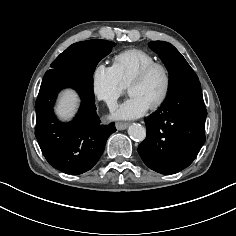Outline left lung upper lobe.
I'll return each mask as SVG.
<instances>
[{
  "instance_id": "1",
  "label": "left lung upper lobe",
  "mask_w": 236,
  "mask_h": 236,
  "mask_svg": "<svg viewBox=\"0 0 236 236\" xmlns=\"http://www.w3.org/2000/svg\"><path fill=\"white\" fill-rule=\"evenodd\" d=\"M150 46L159 54L169 72L170 92L182 83L198 79L185 58L173 45L164 41H152Z\"/></svg>"
}]
</instances>
